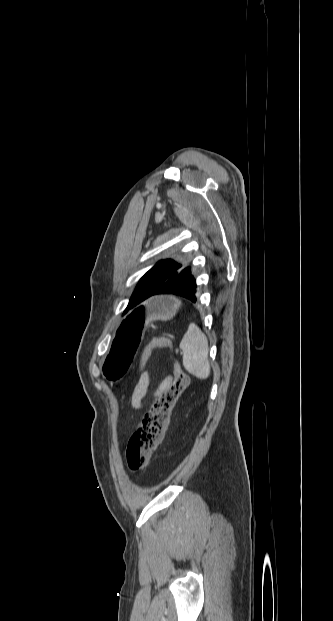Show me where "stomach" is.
<instances>
[{
    "label": "stomach",
    "mask_w": 333,
    "mask_h": 621,
    "mask_svg": "<svg viewBox=\"0 0 333 621\" xmlns=\"http://www.w3.org/2000/svg\"><path fill=\"white\" fill-rule=\"evenodd\" d=\"M177 305L164 296H156L149 303L137 308L120 326L115 336H112L105 353L102 371L113 384L118 379H124L136 362L141 346V332L143 325L150 320H168L175 315Z\"/></svg>",
    "instance_id": "stomach-1"
}]
</instances>
